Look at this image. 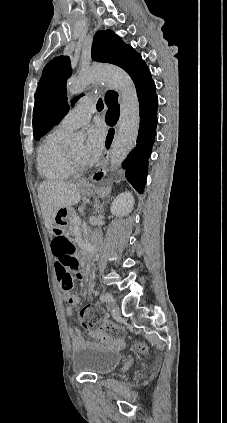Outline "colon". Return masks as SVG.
Returning <instances> with one entry per match:
<instances>
[{"mask_svg": "<svg viewBox=\"0 0 227 423\" xmlns=\"http://www.w3.org/2000/svg\"><path fill=\"white\" fill-rule=\"evenodd\" d=\"M52 252L56 258L57 278L64 293H70L74 286L75 277L78 271V261L74 255V246L69 238L59 229L55 230L52 239ZM80 322L83 327L89 330H106L111 335H120L121 330L104 321L103 313L95 305L85 306L80 313ZM141 350L143 346L136 344Z\"/></svg>", "mask_w": 227, "mask_h": 423, "instance_id": "colon-1", "label": "colon"}]
</instances>
